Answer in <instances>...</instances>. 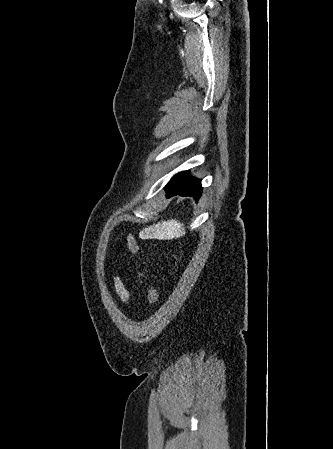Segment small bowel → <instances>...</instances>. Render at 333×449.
Returning a JSON list of instances; mask_svg holds the SVG:
<instances>
[{"mask_svg": "<svg viewBox=\"0 0 333 449\" xmlns=\"http://www.w3.org/2000/svg\"><path fill=\"white\" fill-rule=\"evenodd\" d=\"M115 290L118 296L124 301L127 302L130 298V290L125 285V283L120 279H115Z\"/></svg>", "mask_w": 333, "mask_h": 449, "instance_id": "obj_1", "label": "small bowel"}]
</instances>
